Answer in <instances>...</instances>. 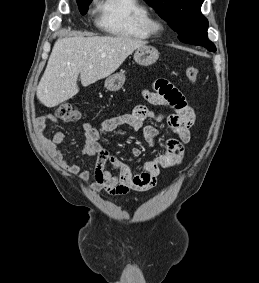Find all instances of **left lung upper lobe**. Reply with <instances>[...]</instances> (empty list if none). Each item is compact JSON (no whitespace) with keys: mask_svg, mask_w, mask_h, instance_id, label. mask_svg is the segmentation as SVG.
Returning <instances> with one entry per match:
<instances>
[{"mask_svg":"<svg viewBox=\"0 0 259 283\" xmlns=\"http://www.w3.org/2000/svg\"><path fill=\"white\" fill-rule=\"evenodd\" d=\"M178 33L181 42L208 46V21L201 14L203 0H146Z\"/></svg>","mask_w":259,"mask_h":283,"instance_id":"left-lung-upper-lobe-1","label":"left lung upper lobe"}]
</instances>
